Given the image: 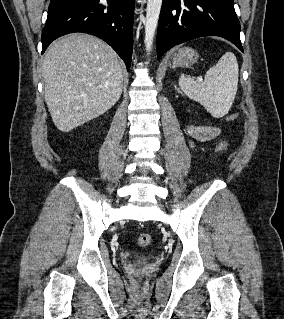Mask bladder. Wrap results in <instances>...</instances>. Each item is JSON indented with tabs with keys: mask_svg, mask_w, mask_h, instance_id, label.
Here are the masks:
<instances>
[{
	"mask_svg": "<svg viewBox=\"0 0 284 319\" xmlns=\"http://www.w3.org/2000/svg\"><path fill=\"white\" fill-rule=\"evenodd\" d=\"M140 260H141L142 262H145V261L147 260V257H146V256H142V257L140 258Z\"/></svg>",
	"mask_w": 284,
	"mask_h": 319,
	"instance_id": "31cf9c89",
	"label": "bladder"
}]
</instances>
